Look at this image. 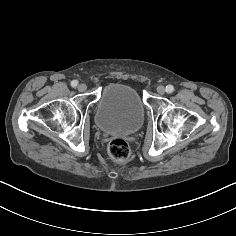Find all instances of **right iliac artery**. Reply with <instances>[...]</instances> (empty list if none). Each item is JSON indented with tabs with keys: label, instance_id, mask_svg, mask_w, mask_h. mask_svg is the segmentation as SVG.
I'll return each mask as SVG.
<instances>
[{
	"label": "right iliac artery",
	"instance_id": "right-iliac-artery-1",
	"mask_svg": "<svg viewBox=\"0 0 236 236\" xmlns=\"http://www.w3.org/2000/svg\"><path fill=\"white\" fill-rule=\"evenodd\" d=\"M77 85H78V81L73 80V81L71 82V86H72V87H76Z\"/></svg>",
	"mask_w": 236,
	"mask_h": 236
}]
</instances>
